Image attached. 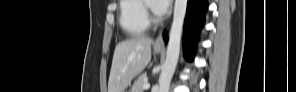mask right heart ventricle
Instances as JSON below:
<instances>
[{
  "instance_id": "e07e8e85",
  "label": "right heart ventricle",
  "mask_w": 296,
  "mask_h": 92,
  "mask_svg": "<svg viewBox=\"0 0 296 92\" xmlns=\"http://www.w3.org/2000/svg\"><path fill=\"white\" fill-rule=\"evenodd\" d=\"M119 22L123 31L129 36H138L148 29L145 1L122 0L120 2Z\"/></svg>"
}]
</instances>
